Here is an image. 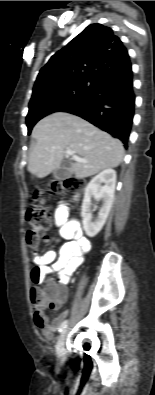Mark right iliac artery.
<instances>
[{"label": "right iliac artery", "mask_w": 155, "mask_h": 395, "mask_svg": "<svg viewBox=\"0 0 155 395\" xmlns=\"http://www.w3.org/2000/svg\"><path fill=\"white\" fill-rule=\"evenodd\" d=\"M67 323H68V320L63 321V322L61 323V325L59 326L58 331H59V332H62L63 329L66 328Z\"/></svg>", "instance_id": "right-iliac-artery-1"}]
</instances>
